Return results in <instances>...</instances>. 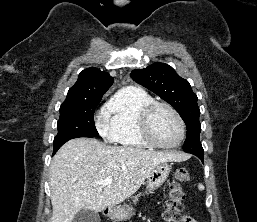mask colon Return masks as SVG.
Segmentation results:
<instances>
[{"label": "colon", "instance_id": "1", "mask_svg": "<svg viewBox=\"0 0 257 222\" xmlns=\"http://www.w3.org/2000/svg\"><path fill=\"white\" fill-rule=\"evenodd\" d=\"M189 180V172L185 168H178L174 173V180L170 183L162 218L165 222H180L185 192L183 185Z\"/></svg>", "mask_w": 257, "mask_h": 222}]
</instances>
